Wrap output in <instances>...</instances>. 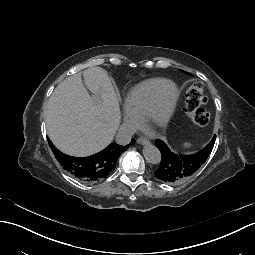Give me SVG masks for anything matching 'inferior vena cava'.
<instances>
[{
  "label": "inferior vena cava",
  "instance_id": "1",
  "mask_svg": "<svg viewBox=\"0 0 255 255\" xmlns=\"http://www.w3.org/2000/svg\"><path fill=\"white\" fill-rule=\"evenodd\" d=\"M136 132V128L130 124H123L118 131L116 141L118 144L126 145L130 142L131 137Z\"/></svg>",
  "mask_w": 255,
  "mask_h": 255
}]
</instances>
